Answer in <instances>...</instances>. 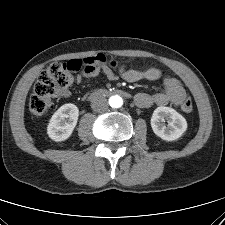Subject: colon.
<instances>
[{
	"label": "colon",
	"mask_w": 225,
	"mask_h": 225,
	"mask_svg": "<svg viewBox=\"0 0 225 225\" xmlns=\"http://www.w3.org/2000/svg\"><path fill=\"white\" fill-rule=\"evenodd\" d=\"M101 55L69 62H54L43 71L36 81L33 94L29 101L30 111L35 115L45 113L52 105V98L67 89L73 83V73L81 70H91L100 60ZM115 65L114 61L110 66ZM182 111L189 113L193 109L190 97L186 96L180 104Z\"/></svg>",
	"instance_id": "colon-1"
}]
</instances>
